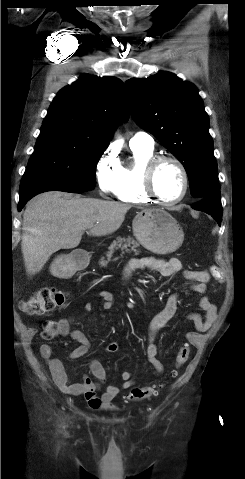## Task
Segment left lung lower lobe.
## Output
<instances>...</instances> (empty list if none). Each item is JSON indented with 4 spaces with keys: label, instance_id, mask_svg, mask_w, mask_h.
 <instances>
[{
    "label": "left lung lower lobe",
    "instance_id": "1",
    "mask_svg": "<svg viewBox=\"0 0 245 479\" xmlns=\"http://www.w3.org/2000/svg\"><path fill=\"white\" fill-rule=\"evenodd\" d=\"M192 208L210 214L217 220L219 226L221 225L222 205L220 191H216L209 196L200 199V201L194 204Z\"/></svg>",
    "mask_w": 245,
    "mask_h": 479
}]
</instances>
